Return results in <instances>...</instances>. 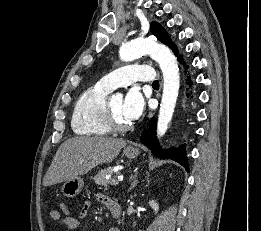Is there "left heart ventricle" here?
<instances>
[{
  "instance_id": "b2bd125f",
  "label": "left heart ventricle",
  "mask_w": 261,
  "mask_h": 231,
  "mask_svg": "<svg viewBox=\"0 0 261 231\" xmlns=\"http://www.w3.org/2000/svg\"><path fill=\"white\" fill-rule=\"evenodd\" d=\"M110 104H111L112 110L119 122H121L123 124L130 122L124 115L122 98H114V99L110 100Z\"/></svg>"
}]
</instances>
